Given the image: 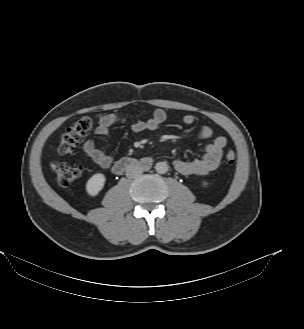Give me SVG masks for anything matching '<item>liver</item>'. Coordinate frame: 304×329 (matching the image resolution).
Returning a JSON list of instances; mask_svg holds the SVG:
<instances>
[{
    "instance_id": "obj_1",
    "label": "liver",
    "mask_w": 304,
    "mask_h": 329,
    "mask_svg": "<svg viewBox=\"0 0 304 329\" xmlns=\"http://www.w3.org/2000/svg\"><path fill=\"white\" fill-rule=\"evenodd\" d=\"M51 167L54 171H57L56 166L53 163H51Z\"/></svg>"
}]
</instances>
